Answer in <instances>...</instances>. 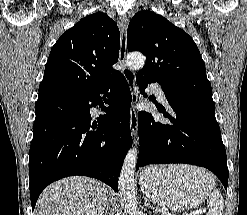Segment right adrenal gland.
I'll use <instances>...</instances> for the list:
<instances>
[{"label": "right adrenal gland", "mask_w": 247, "mask_h": 215, "mask_svg": "<svg viewBox=\"0 0 247 215\" xmlns=\"http://www.w3.org/2000/svg\"><path fill=\"white\" fill-rule=\"evenodd\" d=\"M109 211V202H107L105 210H104V214L103 215H107V212Z\"/></svg>", "instance_id": "right-adrenal-gland-1"}]
</instances>
